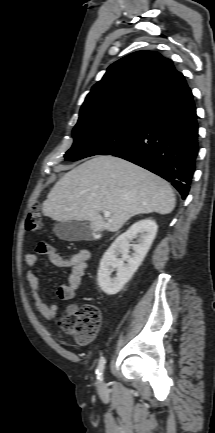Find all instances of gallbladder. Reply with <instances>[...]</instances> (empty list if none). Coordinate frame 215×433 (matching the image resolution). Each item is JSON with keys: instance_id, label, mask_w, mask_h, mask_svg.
Returning a JSON list of instances; mask_svg holds the SVG:
<instances>
[{"instance_id": "obj_1", "label": "gallbladder", "mask_w": 215, "mask_h": 433, "mask_svg": "<svg viewBox=\"0 0 215 433\" xmlns=\"http://www.w3.org/2000/svg\"><path fill=\"white\" fill-rule=\"evenodd\" d=\"M54 234L64 241H81L90 238V229L86 223L79 221L58 222L53 228Z\"/></svg>"}]
</instances>
